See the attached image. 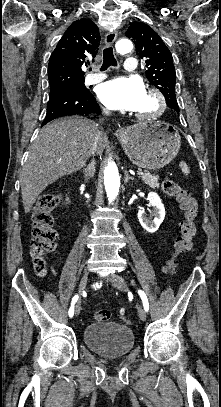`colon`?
I'll list each match as a JSON object with an SVG mask.
<instances>
[{
  "mask_svg": "<svg viewBox=\"0 0 221 407\" xmlns=\"http://www.w3.org/2000/svg\"><path fill=\"white\" fill-rule=\"evenodd\" d=\"M162 190L167 195L173 197L179 203L182 210V218L178 225L179 233L175 240L174 251L165 266V272L171 275L176 270L179 257L191 249L192 241L196 234L195 220L198 214V203L188 190L171 179L163 180ZM59 203V195H42L33 212L30 248L35 271L40 276H44L47 272L46 256L55 249L57 233L53 228L54 218L52 211ZM111 315L109 310H99L95 314V319L105 322L111 318Z\"/></svg>",
  "mask_w": 221,
  "mask_h": 407,
  "instance_id": "colon-1",
  "label": "colon"
}]
</instances>
